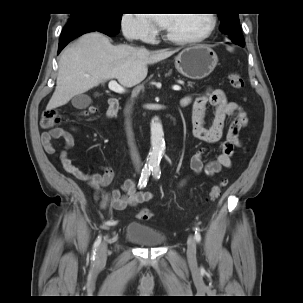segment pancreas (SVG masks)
Returning <instances> with one entry per match:
<instances>
[{
	"mask_svg": "<svg viewBox=\"0 0 303 303\" xmlns=\"http://www.w3.org/2000/svg\"><path fill=\"white\" fill-rule=\"evenodd\" d=\"M188 86H189V87H193V83L189 81V82H188Z\"/></svg>",
	"mask_w": 303,
	"mask_h": 303,
	"instance_id": "cf45deb5",
	"label": "pancreas"
}]
</instances>
